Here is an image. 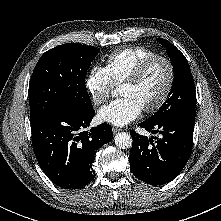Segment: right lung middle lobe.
<instances>
[{"instance_id":"dd1d6c3e","label":"right lung middle lobe","mask_w":221,"mask_h":221,"mask_svg":"<svg viewBox=\"0 0 221 221\" xmlns=\"http://www.w3.org/2000/svg\"><path fill=\"white\" fill-rule=\"evenodd\" d=\"M99 49L67 43L45 52L29 83L30 121L52 109L84 112L92 108L85 76Z\"/></svg>"}]
</instances>
